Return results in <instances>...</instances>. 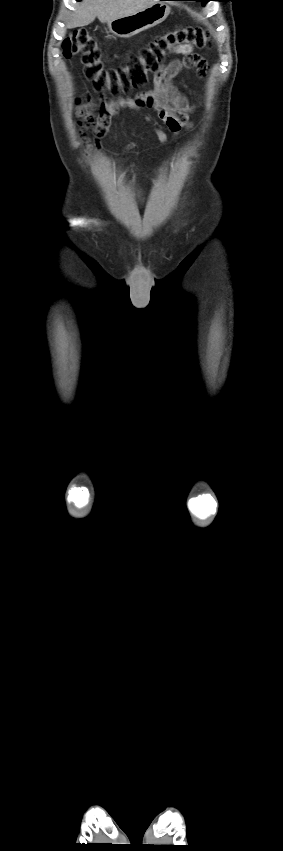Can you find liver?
<instances>
[{"instance_id":"1","label":"liver","mask_w":283,"mask_h":851,"mask_svg":"<svg viewBox=\"0 0 283 851\" xmlns=\"http://www.w3.org/2000/svg\"><path fill=\"white\" fill-rule=\"evenodd\" d=\"M156 0H83L67 23V28L83 27L97 17L101 23L132 15Z\"/></svg>"}]
</instances>
